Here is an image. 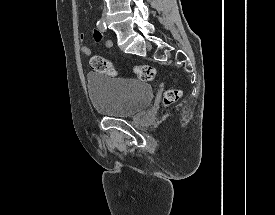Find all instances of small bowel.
<instances>
[{
	"mask_svg": "<svg viewBox=\"0 0 275 215\" xmlns=\"http://www.w3.org/2000/svg\"><path fill=\"white\" fill-rule=\"evenodd\" d=\"M102 37H103V35H102V32H101V30H100L99 28L93 30V38H94V40H95L96 42H100V41L102 40ZM84 38H85V33H80L79 39H80V40H83ZM112 45H113V43H112L111 40H107V41L105 42V47H107V48H111ZM80 52H81L82 54L86 55V56H91V50H90V48L87 47V46H82V47L80 48Z\"/></svg>",
	"mask_w": 275,
	"mask_h": 215,
	"instance_id": "obj_1",
	"label": "small bowel"
}]
</instances>
